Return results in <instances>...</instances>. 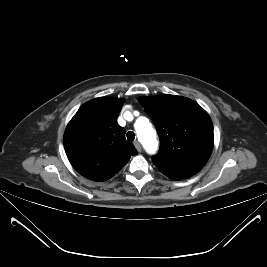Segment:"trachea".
Returning a JSON list of instances; mask_svg holds the SVG:
<instances>
[{
    "instance_id": "obj_1",
    "label": "trachea",
    "mask_w": 267,
    "mask_h": 267,
    "mask_svg": "<svg viewBox=\"0 0 267 267\" xmlns=\"http://www.w3.org/2000/svg\"><path fill=\"white\" fill-rule=\"evenodd\" d=\"M127 139H128L129 141H134V139H135V133H134L133 131H129V132L127 133Z\"/></svg>"
}]
</instances>
